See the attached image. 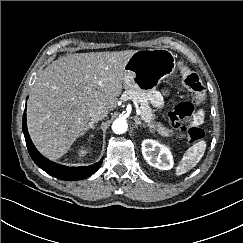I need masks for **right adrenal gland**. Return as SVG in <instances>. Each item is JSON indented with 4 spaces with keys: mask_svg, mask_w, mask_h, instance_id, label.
I'll list each match as a JSON object with an SVG mask.
<instances>
[{
    "mask_svg": "<svg viewBox=\"0 0 243 243\" xmlns=\"http://www.w3.org/2000/svg\"><path fill=\"white\" fill-rule=\"evenodd\" d=\"M96 123H97V121H93V120L91 122H89L88 127H87V131L89 129L94 130L95 129V125L94 124H96ZM91 136H93V135H91Z\"/></svg>",
    "mask_w": 243,
    "mask_h": 243,
    "instance_id": "2a0ac1e0",
    "label": "right adrenal gland"
}]
</instances>
